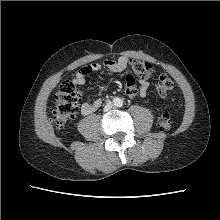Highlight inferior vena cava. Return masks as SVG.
Here are the masks:
<instances>
[{
    "mask_svg": "<svg viewBox=\"0 0 220 220\" xmlns=\"http://www.w3.org/2000/svg\"><path fill=\"white\" fill-rule=\"evenodd\" d=\"M112 107H113V104L111 102H108L104 107V112L111 110Z\"/></svg>",
    "mask_w": 220,
    "mask_h": 220,
    "instance_id": "obj_1",
    "label": "inferior vena cava"
}]
</instances>
